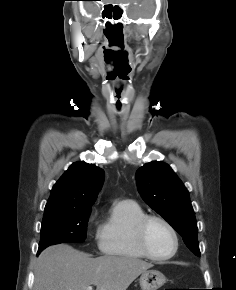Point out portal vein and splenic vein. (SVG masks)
Listing matches in <instances>:
<instances>
[{"label":"portal vein and splenic vein","instance_id":"18ae733b","mask_svg":"<svg viewBox=\"0 0 236 290\" xmlns=\"http://www.w3.org/2000/svg\"><path fill=\"white\" fill-rule=\"evenodd\" d=\"M86 290H92V286L87 287Z\"/></svg>","mask_w":236,"mask_h":290}]
</instances>
